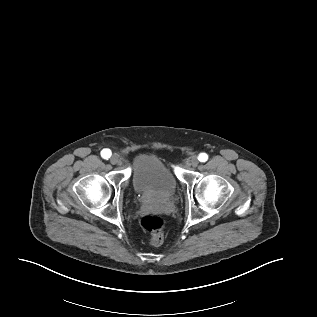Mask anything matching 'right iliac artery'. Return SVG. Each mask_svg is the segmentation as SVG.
I'll return each mask as SVG.
<instances>
[{"label": "right iliac artery", "instance_id": "82829eb1", "mask_svg": "<svg viewBox=\"0 0 317 317\" xmlns=\"http://www.w3.org/2000/svg\"><path fill=\"white\" fill-rule=\"evenodd\" d=\"M111 151L109 150V149H103L102 151H101V156L104 158V159H108V158H110V156H111Z\"/></svg>", "mask_w": 317, "mask_h": 317}]
</instances>
